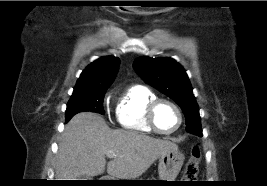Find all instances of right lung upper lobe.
<instances>
[{"instance_id":"cb5924a9","label":"right lung upper lobe","mask_w":267,"mask_h":186,"mask_svg":"<svg viewBox=\"0 0 267 186\" xmlns=\"http://www.w3.org/2000/svg\"><path fill=\"white\" fill-rule=\"evenodd\" d=\"M120 59L105 56L90 64L80 75L73 92L108 88L118 71Z\"/></svg>"}]
</instances>
